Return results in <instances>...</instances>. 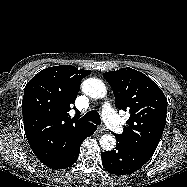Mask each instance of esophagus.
<instances>
[{"mask_svg": "<svg viewBox=\"0 0 187 187\" xmlns=\"http://www.w3.org/2000/svg\"><path fill=\"white\" fill-rule=\"evenodd\" d=\"M99 131L100 132H105L107 130L106 126L104 124H101L99 127H98Z\"/></svg>", "mask_w": 187, "mask_h": 187, "instance_id": "34e87169", "label": "esophagus"}]
</instances>
